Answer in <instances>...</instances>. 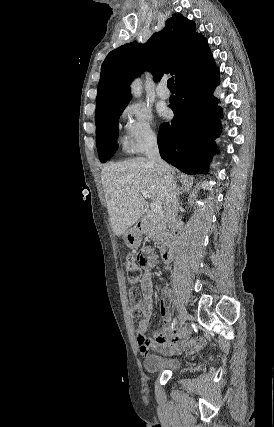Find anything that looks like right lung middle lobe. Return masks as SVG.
Here are the masks:
<instances>
[{"label":"right lung middle lobe","instance_id":"right-lung-middle-lobe-1","mask_svg":"<svg viewBox=\"0 0 274 427\" xmlns=\"http://www.w3.org/2000/svg\"><path fill=\"white\" fill-rule=\"evenodd\" d=\"M130 98L121 100L96 113V144L102 163L110 159L117 150L119 116L127 106Z\"/></svg>","mask_w":274,"mask_h":427}]
</instances>
